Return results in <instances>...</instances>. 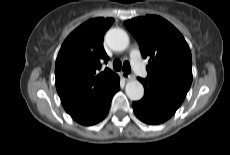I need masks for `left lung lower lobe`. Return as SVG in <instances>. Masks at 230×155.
Returning a JSON list of instances; mask_svg holds the SVG:
<instances>
[{"label": "left lung lower lobe", "instance_id": "0a47b994", "mask_svg": "<svg viewBox=\"0 0 230 155\" xmlns=\"http://www.w3.org/2000/svg\"><path fill=\"white\" fill-rule=\"evenodd\" d=\"M138 79L144 85L145 95L140 101L132 103L135 115L144 123L153 125L168 120L180 107L182 101L145 79Z\"/></svg>", "mask_w": 230, "mask_h": 155}]
</instances>
